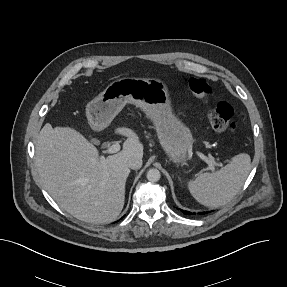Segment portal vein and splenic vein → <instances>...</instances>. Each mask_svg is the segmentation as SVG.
<instances>
[{"label":"portal vein and splenic vein","instance_id":"obj_1","mask_svg":"<svg viewBox=\"0 0 287 287\" xmlns=\"http://www.w3.org/2000/svg\"><path fill=\"white\" fill-rule=\"evenodd\" d=\"M120 148H121V146H120L119 143H114L113 145H111V146H109L107 148L105 153H107V154H114V153H117L120 150ZM197 154L202 160H204L209 165V169L211 171L215 170V168H214L215 165H218L220 167L223 166L222 163H216L215 159L213 157H207L204 154H202L201 152H197Z\"/></svg>","mask_w":287,"mask_h":287}]
</instances>
